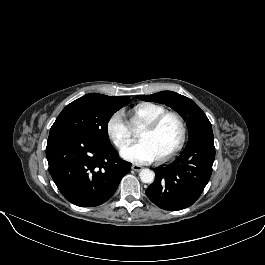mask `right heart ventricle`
<instances>
[{
    "label": "right heart ventricle",
    "mask_w": 265,
    "mask_h": 265,
    "mask_svg": "<svg viewBox=\"0 0 265 265\" xmlns=\"http://www.w3.org/2000/svg\"><path fill=\"white\" fill-rule=\"evenodd\" d=\"M165 112L167 109L161 105L150 102L140 103L129 112L130 124L133 128H141Z\"/></svg>",
    "instance_id": "obj_1"
}]
</instances>
